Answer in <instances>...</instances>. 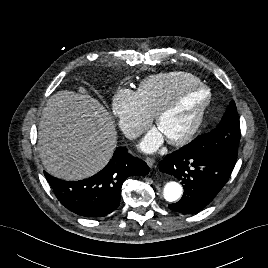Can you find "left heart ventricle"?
<instances>
[{
	"instance_id": "b2bd125f",
	"label": "left heart ventricle",
	"mask_w": 268,
	"mask_h": 268,
	"mask_svg": "<svg viewBox=\"0 0 268 268\" xmlns=\"http://www.w3.org/2000/svg\"><path fill=\"white\" fill-rule=\"evenodd\" d=\"M202 98L203 93L197 90H189L181 95L178 105L158 126L165 138L178 137L189 127Z\"/></svg>"
}]
</instances>
